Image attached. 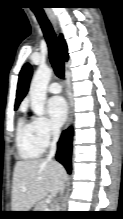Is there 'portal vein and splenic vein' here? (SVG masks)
I'll return each mask as SVG.
<instances>
[{
    "instance_id": "18ae733b",
    "label": "portal vein and splenic vein",
    "mask_w": 123,
    "mask_h": 219,
    "mask_svg": "<svg viewBox=\"0 0 123 219\" xmlns=\"http://www.w3.org/2000/svg\"><path fill=\"white\" fill-rule=\"evenodd\" d=\"M44 211H50V210H49L48 207L46 206L45 209H44Z\"/></svg>"
}]
</instances>
